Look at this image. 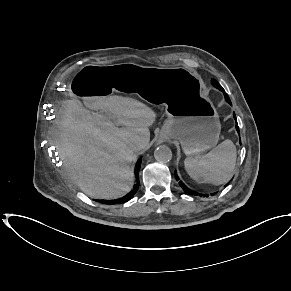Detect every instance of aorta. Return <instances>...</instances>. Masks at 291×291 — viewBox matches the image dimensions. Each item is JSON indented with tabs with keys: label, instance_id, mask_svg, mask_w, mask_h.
Returning a JSON list of instances; mask_svg holds the SVG:
<instances>
[{
	"label": "aorta",
	"instance_id": "aorta-1",
	"mask_svg": "<svg viewBox=\"0 0 291 291\" xmlns=\"http://www.w3.org/2000/svg\"><path fill=\"white\" fill-rule=\"evenodd\" d=\"M154 157L158 162L167 163L172 159V151L168 146L161 145L154 151Z\"/></svg>",
	"mask_w": 291,
	"mask_h": 291
}]
</instances>
